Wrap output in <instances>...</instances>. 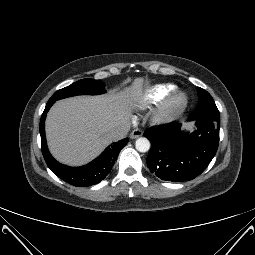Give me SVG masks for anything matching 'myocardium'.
<instances>
[{
    "label": "myocardium",
    "mask_w": 255,
    "mask_h": 255,
    "mask_svg": "<svg viewBox=\"0 0 255 255\" xmlns=\"http://www.w3.org/2000/svg\"><path fill=\"white\" fill-rule=\"evenodd\" d=\"M188 105V96L184 91H173L161 104L154 115L157 123H166L180 115Z\"/></svg>",
    "instance_id": "obj_1"
}]
</instances>
